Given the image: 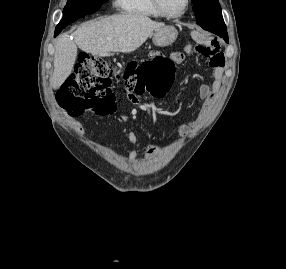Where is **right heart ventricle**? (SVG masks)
<instances>
[{"label":"right heart ventricle","mask_w":286,"mask_h":269,"mask_svg":"<svg viewBox=\"0 0 286 269\" xmlns=\"http://www.w3.org/2000/svg\"><path fill=\"white\" fill-rule=\"evenodd\" d=\"M117 9L128 16L140 18H159L152 0H115Z\"/></svg>","instance_id":"1"}]
</instances>
